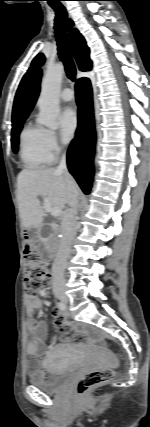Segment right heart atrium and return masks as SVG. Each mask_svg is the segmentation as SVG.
<instances>
[{
    "instance_id": "d8ad5b80",
    "label": "right heart atrium",
    "mask_w": 150,
    "mask_h": 427,
    "mask_svg": "<svg viewBox=\"0 0 150 427\" xmlns=\"http://www.w3.org/2000/svg\"><path fill=\"white\" fill-rule=\"evenodd\" d=\"M44 144L48 156L51 160L55 159V157L62 150V144L57 134L53 131L45 130Z\"/></svg>"
}]
</instances>
